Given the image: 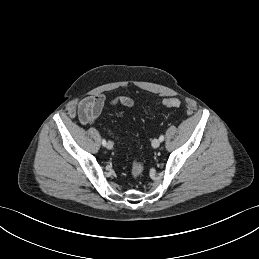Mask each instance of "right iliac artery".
Here are the masks:
<instances>
[{"label": "right iliac artery", "mask_w": 259, "mask_h": 259, "mask_svg": "<svg viewBox=\"0 0 259 259\" xmlns=\"http://www.w3.org/2000/svg\"><path fill=\"white\" fill-rule=\"evenodd\" d=\"M106 144H107V143H106V140L103 139V140H102V145H103V146H106Z\"/></svg>", "instance_id": "obj_1"}]
</instances>
